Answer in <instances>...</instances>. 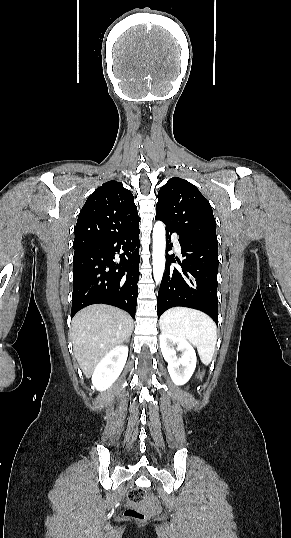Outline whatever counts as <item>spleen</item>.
<instances>
[{"mask_svg":"<svg viewBox=\"0 0 291 538\" xmlns=\"http://www.w3.org/2000/svg\"><path fill=\"white\" fill-rule=\"evenodd\" d=\"M163 332L188 339L197 347L201 361L208 365L215 352L217 327L203 312L175 307L162 314L159 321Z\"/></svg>","mask_w":291,"mask_h":538,"instance_id":"obj_1","label":"spleen"}]
</instances>
